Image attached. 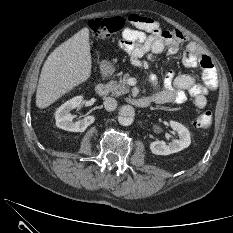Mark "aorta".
<instances>
[{
  "instance_id": "obj_1",
  "label": "aorta",
  "mask_w": 233,
  "mask_h": 233,
  "mask_svg": "<svg viewBox=\"0 0 233 233\" xmlns=\"http://www.w3.org/2000/svg\"><path fill=\"white\" fill-rule=\"evenodd\" d=\"M118 121L123 126H129L133 123L135 110L131 105H123L118 112Z\"/></svg>"
}]
</instances>
